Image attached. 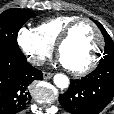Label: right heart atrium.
<instances>
[{
    "label": "right heart atrium",
    "mask_w": 114,
    "mask_h": 114,
    "mask_svg": "<svg viewBox=\"0 0 114 114\" xmlns=\"http://www.w3.org/2000/svg\"><path fill=\"white\" fill-rule=\"evenodd\" d=\"M17 43L33 65H41L53 51V46L46 43L33 28L22 27L17 35Z\"/></svg>",
    "instance_id": "right-heart-atrium-1"
}]
</instances>
